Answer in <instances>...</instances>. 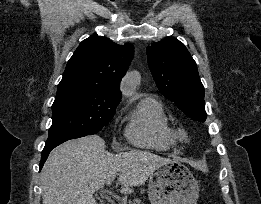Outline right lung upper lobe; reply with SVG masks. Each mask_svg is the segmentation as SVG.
Returning <instances> with one entry per match:
<instances>
[{"label":"right lung upper lobe","mask_w":261,"mask_h":204,"mask_svg":"<svg viewBox=\"0 0 261 204\" xmlns=\"http://www.w3.org/2000/svg\"><path fill=\"white\" fill-rule=\"evenodd\" d=\"M133 45H118L101 36L82 41L69 59L57 95L90 91L121 100L120 81L133 58Z\"/></svg>","instance_id":"obj_1"}]
</instances>
